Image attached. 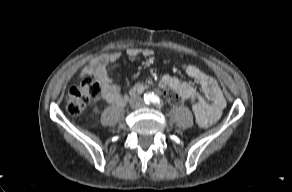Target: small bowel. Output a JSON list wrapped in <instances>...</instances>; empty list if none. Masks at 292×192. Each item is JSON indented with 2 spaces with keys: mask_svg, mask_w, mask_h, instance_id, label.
Here are the masks:
<instances>
[{
  "mask_svg": "<svg viewBox=\"0 0 292 192\" xmlns=\"http://www.w3.org/2000/svg\"><path fill=\"white\" fill-rule=\"evenodd\" d=\"M129 57L139 55L150 57L153 50L150 48L131 47L126 50ZM121 57L120 52H114L107 57L98 59L87 69V74L98 78L102 82V99L111 104L123 105L127 101V95L122 93L120 87L114 82L110 67L113 66ZM184 73L192 80L197 82L207 101L200 98L194 87L186 81L176 77L166 75L161 79L160 86L167 92H174L181 98L188 100L191 96L196 95L197 100L192 101V109L197 122L202 127L213 125L220 117L226 101L217 81L205 73L200 67L194 64H185Z\"/></svg>",
  "mask_w": 292,
  "mask_h": 192,
  "instance_id": "c3829d8e",
  "label": "small bowel"
}]
</instances>
